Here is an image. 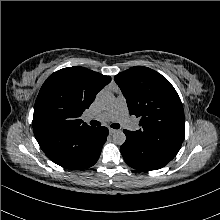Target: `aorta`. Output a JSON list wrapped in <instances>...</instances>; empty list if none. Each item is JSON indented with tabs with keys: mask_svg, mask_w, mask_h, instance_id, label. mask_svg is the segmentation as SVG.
Here are the masks:
<instances>
[{
	"mask_svg": "<svg viewBox=\"0 0 220 220\" xmlns=\"http://www.w3.org/2000/svg\"><path fill=\"white\" fill-rule=\"evenodd\" d=\"M96 101L101 108H109L114 103V97L110 92L101 91L97 94ZM113 142L122 145L126 141V135L121 130H116L112 135Z\"/></svg>",
	"mask_w": 220,
	"mask_h": 220,
	"instance_id": "1",
	"label": "aorta"
}]
</instances>
